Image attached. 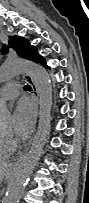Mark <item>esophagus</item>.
<instances>
[{"instance_id":"34e87169","label":"esophagus","mask_w":89,"mask_h":203,"mask_svg":"<svg viewBox=\"0 0 89 203\" xmlns=\"http://www.w3.org/2000/svg\"><path fill=\"white\" fill-rule=\"evenodd\" d=\"M24 77L29 81V83L31 84L32 89H33L32 97H33V100H34L35 106H36V114H35V125H36L37 118H38V89H37V86H36L33 78L29 74H25ZM21 160H22V157H20V159L16 162L15 165L17 166Z\"/></svg>"}]
</instances>
